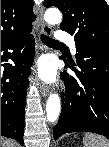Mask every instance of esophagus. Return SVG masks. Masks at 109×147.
<instances>
[{
  "label": "esophagus",
  "instance_id": "1",
  "mask_svg": "<svg viewBox=\"0 0 109 147\" xmlns=\"http://www.w3.org/2000/svg\"><path fill=\"white\" fill-rule=\"evenodd\" d=\"M38 18L41 24L42 33H44L45 35H51L52 28L48 24H46L43 20V8H41ZM41 48L43 49V46ZM40 92L43 96L46 97L50 94V88L42 83L40 85Z\"/></svg>",
  "mask_w": 109,
  "mask_h": 147
}]
</instances>
